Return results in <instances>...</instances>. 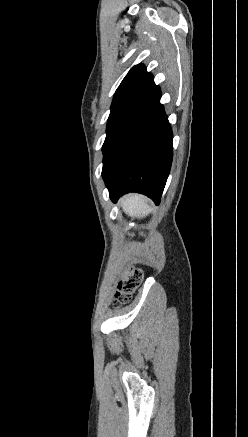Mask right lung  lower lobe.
Listing matches in <instances>:
<instances>
[{"mask_svg":"<svg viewBox=\"0 0 248 437\" xmlns=\"http://www.w3.org/2000/svg\"><path fill=\"white\" fill-rule=\"evenodd\" d=\"M160 98L154 82L146 87L104 151L102 176L114 203L128 192L160 202L173 158V133Z\"/></svg>","mask_w":248,"mask_h":437,"instance_id":"right-lung-lower-lobe-1","label":"right lung lower lobe"}]
</instances>
